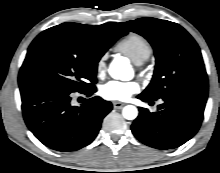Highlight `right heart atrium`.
I'll list each match as a JSON object with an SVG mask.
<instances>
[{
  "label": "right heart atrium",
  "instance_id": "d8ad5b80",
  "mask_svg": "<svg viewBox=\"0 0 220 173\" xmlns=\"http://www.w3.org/2000/svg\"><path fill=\"white\" fill-rule=\"evenodd\" d=\"M105 59L104 57H101L98 61H97V64H96V71H97V74H102L105 72Z\"/></svg>",
  "mask_w": 220,
  "mask_h": 173
}]
</instances>
